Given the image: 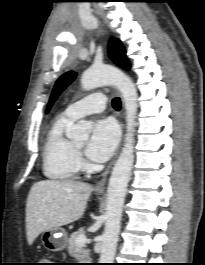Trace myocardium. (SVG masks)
<instances>
[{"label":"myocardium","instance_id":"myocardium-1","mask_svg":"<svg viewBox=\"0 0 205 265\" xmlns=\"http://www.w3.org/2000/svg\"><path fill=\"white\" fill-rule=\"evenodd\" d=\"M75 150L78 151L80 147H78L77 145H74Z\"/></svg>","mask_w":205,"mask_h":265}]
</instances>
